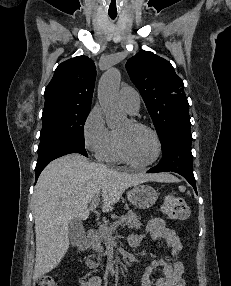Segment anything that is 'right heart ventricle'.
Returning <instances> with one entry per match:
<instances>
[{
	"instance_id": "obj_1",
	"label": "right heart ventricle",
	"mask_w": 231,
	"mask_h": 286,
	"mask_svg": "<svg viewBox=\"0 0 231 286\" xmlns=\"http://www.w3.org/2000/svg\"><path fill=\"white\" fill-rule=\"evenodd\" d=\"M97 158L105 163L118 164L121 161L116 150L115 132H112L110 142L97 154Z\"/></svg>"
}]
</instances>
